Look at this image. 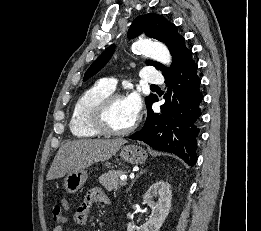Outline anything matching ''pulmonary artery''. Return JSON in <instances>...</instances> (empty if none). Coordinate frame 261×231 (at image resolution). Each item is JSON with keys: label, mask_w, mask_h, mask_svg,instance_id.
I'll use <instances>...</instances> for the list:
<instances>
[{"label": "pulmonary artery", "mask_w": 261, "mask_h": 231, "mask_svg": "<svg viewBox=\"0 0 261 231\" xmlns=\"http://www.w3.org/2000/svg\"><path fill=\"white\" fill-rule=\"evenodd\" d=\"M141 78L144 82L152 83L155 85L163 84L164 78L161 73H159L153 67H144L141 72ZM104 85L114 91L116 88V82L112 79H106L103 81Z\"/></svg>", "instance_id": "obj_1"}]
</instances>
